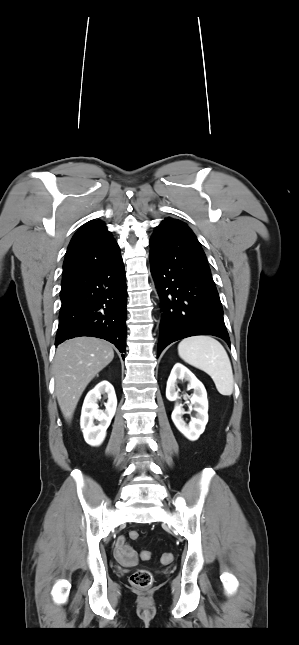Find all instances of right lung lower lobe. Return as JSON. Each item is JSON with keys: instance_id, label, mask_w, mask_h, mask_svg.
I'll list each match as a JSON object with an SVG mask.
<instances>
[{"instance_id": "98d812e1", "label": "right lung lower lobe", "mask_w": 299, "mask_h": 645, "mask_svg": "<svg viewBox=\"0 0 299 645\" xmlns=\"http://www.w3.org/2000/svg\"><path fill=\"white\" fill-rule=\"evenodd\" d=\"M60 297L55 345L74 337L92 336L125 352L127 291L121 255L62 286Z\"/></svg>"}]
</instances>
